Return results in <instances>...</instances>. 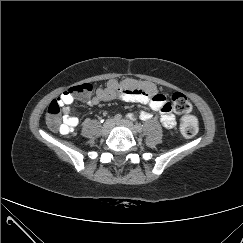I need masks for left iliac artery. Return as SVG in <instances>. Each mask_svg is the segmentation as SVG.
<instances>
[{
  "instance_id": "left-iliac-artery-1",
  "label": "left iliac artery",
  "mask_w": 243,
  "mask_h": 243,
  "mask_svg": "<svg viewBox=\"0 0 243 243\" xmlns=\"http://www.w3.org/2000/svg\"><path fill=\"white\" fill-rule=\"evenodd\" d=\"M136 127L138 128L139 132H141V130H142V126H141L140 124H137V123H136Z\"/></svg>"
}]
</instances>
